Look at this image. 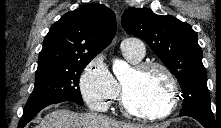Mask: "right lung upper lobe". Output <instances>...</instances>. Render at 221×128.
Masks as SVG:
<instances>
[{"instance_id":"cb5924a9","label":"right lung upper lobe","mask_w":221,"mask_h":128,"mask_svg":"<svg viewBox=\"0 0 221 128\" xmlns=\"http://www.w3.org/2000/svg\"><path fill=\"white\" fill-rule=\"evenodd\" d=\"M115 32V14L105 5L90 3L70 11L51 26L37 70L93 59L111 43Z\"/></svg>"}]
</instances>
